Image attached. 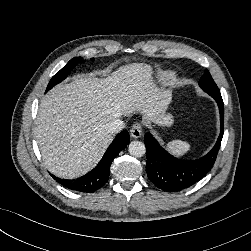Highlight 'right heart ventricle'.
<instances>
[{
    "mask_svg": "<svg viewBox=\"0 0 251 251\" xmlns=\"http://www.w3.org/2000/svg\"><path fill=\"white\" fill-rule=\"evenodd\" d=\"M174 73L170 71H162L157 75V79L162 82H168L174 78Z\"/></svg>",
    "mask_w": 251,
    "mask_h": 251,
    "instance_id": "right-heart-ventricle-1",
    "label": "right heart ventricle"
}]
</instances>
